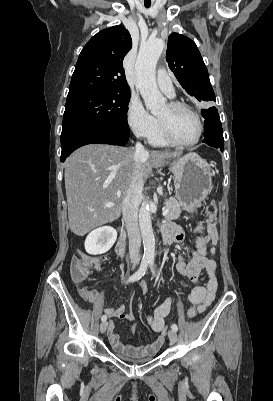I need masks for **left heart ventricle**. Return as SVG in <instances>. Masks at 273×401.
<instances>
[{"label": "left heart ventricle", "mask_w": 273, "mask_h": 401, "mask_svg": "<svg viewBox=\"0 0 273 401\" xmlns=\"http://www.w3.org/2000/svg\"><path fill=\"white\" fill-rule=\"evenodd\" d=\"M158 116L170 127L175 137L180 141L190 142L197 138L199 124L197 119L188 111L171 108L167 104Z\"/></svg>", "instance_id": "obj_1"}]
</instances>
